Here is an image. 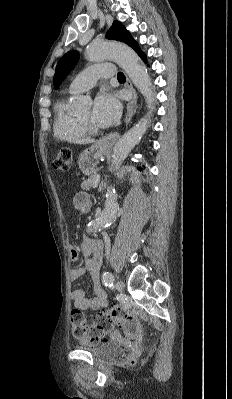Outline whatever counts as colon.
Here are the masks:
<instances>
[{
  "mask_svg": "<svg viewBox=\"0 0 232 399\" xmlns=\"http://www.w3.org/2000/svg\"><path fill=\"white\" fill-rule=\"evenodd\" d=\"M53 164L57 168H68V173H73V153L70 150L56 154ZM84 311H73L71 319V338H80L83 347H88V342L103 341L101 335H114L115 329L111 324H122L126 337H140L143 321L138 313H130V308H115V313H100L95 322H84ZM84 322V323H83ZM87 335V336H86ZM87 341V342H86ZM127 353H137V346H127Z\"/></svg>",
  "mask_w": 232,
  "mask_h": 399,
  "instance_id": "colon-1",
  "label": "colon"
}]
</instances>
